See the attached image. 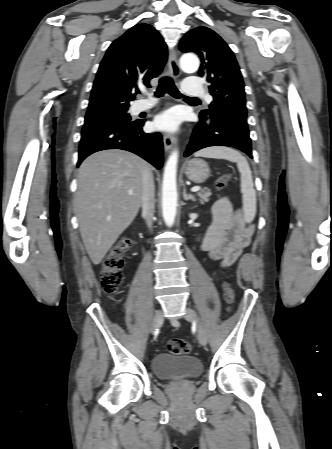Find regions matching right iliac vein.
Returning <instances> with one entry per match:
<instances>
[{
	"label": "right iliac vein",
	"instance_id": "63e3f726",
	"mask_svg": "<svg viewBox=\"0 0 332 449\" xmlns=\"http://www.w3.org/2000/svg\"><path fill=\"white\" fill-rule=\"evenodd\" d=\"M163 323V315L160 310L156 312L154 315L151 326H150V332L153 333L157 328H159Z\"/></svg>",
	"mask_w": 332,
	"mask_h": 449
}]
</instances>
